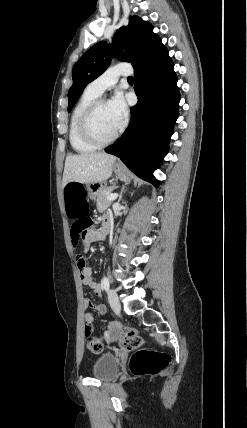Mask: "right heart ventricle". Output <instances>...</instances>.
<instances>
[{
    "instance_id": "obj_1",
    "label": "right heart ventricle",
    "mask_w": 247,
    "mask_h": 428,
    "mask_svg": "<svg viewBox=\"0 0 247 428\" xmlns=\"http://www.w3.org/2000/svg\"><path fill=\"white\" fill-rule=\"evenodd\" d=\"M99 95L91 92L87 88L82 93L80 99L75 105L69 124V141L71 147L78 153L85 154L95 151L98 147L87 142L80 133V119L85 110L97 100Z\"/></svg>"
}]
</instances>
